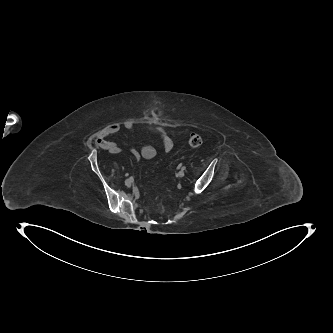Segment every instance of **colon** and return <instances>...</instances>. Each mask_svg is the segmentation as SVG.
I'll use <instances>...</instances> for the list:
<instances>
[{
  "label": "colon",
  "mask_w": 333,
  "mask_h": 333,
  "mask_svg": "<svg viewBox=\"0 0 333 333\" xmlns=\"http://www.w3.org/2000/svg\"><path fill=\"white\" fill-rule=\"evenodd\" d=\"M188 142L190 146L197 148L202 144V138L198 133H191Z\"/></svg>",
  "instance_id": "obj_1"
}]
</instances>
